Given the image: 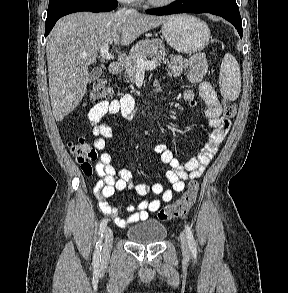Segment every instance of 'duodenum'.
<instances>
[{
	"mask_svg": "<svg viewBox=\"0 0 288 293\" xmlns=\"http://www.w3.org/2000/svg\"><path fill=\"white\" fill-rule=\"evenodd\" d=\"M122 69V64L120 61H113L109 65V72L113 75L118 74Z\"/></svg>",
	"mask_w": 288,
	"mask_h": 293,
	"instance_id": "duodenum-1",
	"label": "duodenum"
}]
</instances>
